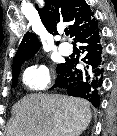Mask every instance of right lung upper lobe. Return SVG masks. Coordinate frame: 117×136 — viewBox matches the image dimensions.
<instances>
[{
	"mask_svg": "<svg viewBox=\"0 0 117 136\" xmlns=\"http://www.w3.org/2000/svg\"><path fill=\"white\" fill-rule=\"evenodd\" d=\"M36 8L49 33L57 35V24L64 22L75 41L79 34L96 20L90 7L83 0H45L43 8L39 9L37 5ZM39 45L36 34L27 32L18 47L13 69L31 58L38 51Z\"/></svg>",
	"mask_w": 117,
	"mask_h": 136,
	"instance_id": "right-lung-upper-lobe-1",
	"label": "right lung upper lobe"
}]
</instances>
